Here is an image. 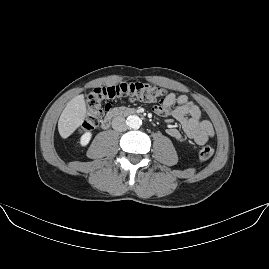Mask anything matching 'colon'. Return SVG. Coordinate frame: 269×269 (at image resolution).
Returning a JSON list of instances; mask_svg holds the SVG:
<instances>
[{"label": "colon", "instance_id": "1", "mask_svg": "<svg viewBox=\"0 0 269 269\" xmlns=\"http://www.w3.org/2000/svg\"><path fill=\"white\" fill-rule=\"evenodd\" d=\"M167 90L158 85L143 82L120 83L117 85L92 87L86 91L87 114L79 128V133L90 131L97 124L107 111V103L127 97L134 101L143 103H154L163 101ZM212 145L204 146L199 154L200 161H206L214 155Z\"/></svg>", "mask_w": 269, "mask_h": 269}]
</instances>
